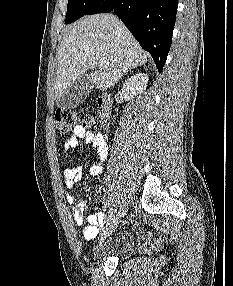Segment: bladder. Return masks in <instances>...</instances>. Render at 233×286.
Returning <instances> with one entry per match:
<instances>
[{"label":"bladder","mask_w":233,"mask_h":286,"mask_svg":"<svg viewBox=\"0 0 233 286\" xmlns=\"http://www.w3.org/2000/svg\"><path fill=\"white\" fill-rule=\"evenodd\" d=\"M131 243L129 236L123 234L108 245L103 241L100 242L99 246L93 250L92 255L95 259H101L109 253H116L120 256H124L132 251Z\"/></svg>","instance_id":"1"}]
</instances>
